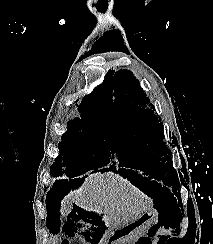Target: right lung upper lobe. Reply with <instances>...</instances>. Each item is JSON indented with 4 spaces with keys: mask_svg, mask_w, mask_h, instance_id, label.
I'll list each match as a JSON object with an SVG mask.
<instances>
[{
    "mask_svg": "<svg viewBox=\"0 0 213 244\" xmlns=\"http://www.w3.org/2000/svg\"><path fill=\"white\" fill-rule=\"evenodd\" d=\"M78 110L108 114L107 109L100 102L95 91H93L91 95H87L83 98L78 106Z\"/></svg>",
    "mask_w": 213,
    "mask_h": 244,
    "instance_id": "obj_1",
    "label": "right lung upper lobe"
}]
</instances>
